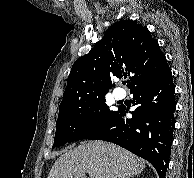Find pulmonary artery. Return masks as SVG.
Segmentation results:
<instances>
[{
	"mask_svg": "<svg viewBox=\"0 0 194 178\" xmlns=\"http://www.w3.org/2000/svg\"><path fill=\"white\" fill-rule=\"evenodd\" d=\"M113 96H114L115 99L121 100V99L124 98L125 93H124V91L121 90V89H116V90L113 92Z\"/></svg>",
	"mask_w": 194,
	"mask_h": 178,
	"instance_id": "1",
	"label": "pulmonary artery"
}]
</instances>
